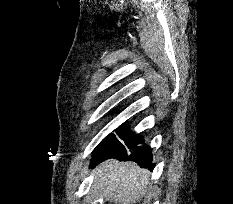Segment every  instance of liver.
<instances>
[{
    "label": "liver",
    "mask_w": 233,
    "mask_h": 204,
    "mask_svg": "<svg viewBox=\"0 0 233 204\" xmlns=\"http://www.w3.org/2000/svg\"><path fill=\"white\" fill-rule=\"evenodd\" d=\"M93 186L101 196L116 204H136L149 189V172L133 162L110 159L95 171Z\"/></svg>",
    "instance_id": "liver-1"
}]
</instances>
